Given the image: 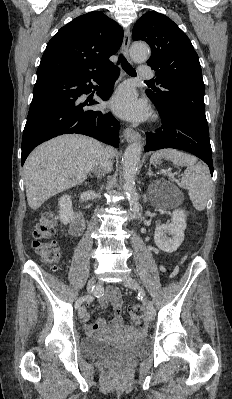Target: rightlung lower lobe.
I'll return each instance as SVG.
<instances>
[{"label":"right lung lower lobe","instance_id":"obj_1","mask_svg":"<svg viewBox=\"0 0 232 399\" xmlns=\"http://www.w3.org/2000/svg\"><path fill=\"white\" fill-rule=\"evenodd\" d=\"M120 69L112 66L90 73H65L39 75L33 89L27 122L22 138V164L39 144L66 133L94 137L114 147H119V122L111 112L92 110L98 104L83 94L92 90L91 80L101 84L97 95L108 100Z\"/></svg>","mask_w":232,"mask_h":399}]
</instances>
